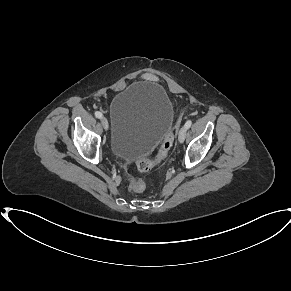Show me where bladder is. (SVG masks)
Returning <instances> with one entry per match:
<instances>
[{"mask_svg": "<svg viewBox=\"0 0 291 291\" xmlns=\"http://www.w3.org/2000/svg\"><path fill=\"white\" fill-rule=\"evenodd\" d=\"M173 115V104L160 85H129L110 106L112 156L129 161L149 155L170 131Z\"/></svg>", "mask_w": 291, "mask_h": 291, "instance_id": "obj_1", "label": "bladder"}]
</instances>
